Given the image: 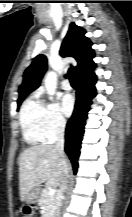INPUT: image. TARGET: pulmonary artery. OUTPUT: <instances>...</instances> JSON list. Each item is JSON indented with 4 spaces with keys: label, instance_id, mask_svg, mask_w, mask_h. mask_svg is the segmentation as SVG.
Returning <instances> with one entry per match:
<instances>
[{
    "label": "pulmonary artery",
    "instance_id": "e3ab8cb5",
    "mask_svg": "<svg viewBox=\"0 0 132 217\" xmlns=\"http://www.w3.org/2000/svg\"><path fill=\"white\" fill-rule=\"evenodd\" d=\"M62 88H63L64 90H67V91L71 89V85H70V83H69L68 80H64V81L62 82Z\"/></svg>",
    "mask_w": 132,
    "mask_h": 217
}]
</instances>
